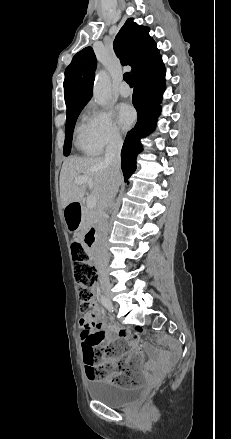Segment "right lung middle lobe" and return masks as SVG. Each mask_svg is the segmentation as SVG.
Returning <instances> with one entry per match:
<instances>
[{"label":"right lung middle lobe","instance_id":"dd1d6c3e","mask_svg":"<svg viewBox=\"0 0 231 439\" xmlns=\"http://www.w3.org/2000/svg\"><path fill=\"white\" fill-rule=\"evenodd\" d=\"M85 105L75 107L67 110L66 129H65V143L63 153L68 156L71 151L72 134L77 120V117Z\"/></svg>","mask_w":231,"mask_h":439}]
</instances>
